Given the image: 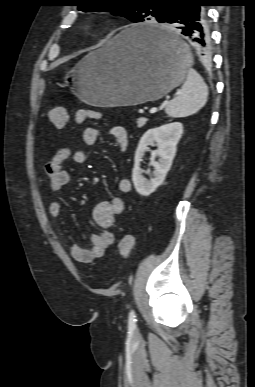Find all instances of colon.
<instances>
[{
	"label": "colon",
	"instance_id": "1",
	"mask_svg": "<svg viewBox=\"0 0 255 387\" xmlns=\"http://www.w3.org/2000/svg\"><path fill=\"white\" fill-rule=\"evenodd\" d=\"M49 121L57 128H64L69 124L70 115L63 106H55L48 113ZM100 114L90 109H82L76 113L75 120L81 123L88 119H99ZM137 246L136 239L131 234H125L118 243V251L122 259L127 260Z\"/></svg>",
	"mask_w": 255,
	"mask_h": 387
}]
</instances>
